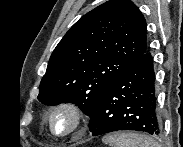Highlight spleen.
I'll use <instances>...</instances> for the list:
<instances>
[{
  "label": "spleen",
  "mask_w": 183,
  "mask_h": 147,
  "mask_svg": "<svg viewBox=\"0 0 183 147\" xmlns=\"http://www.w3.org/2000/svg\"><path fill=\"white\" fill-rule=\"evenodd\" d=\"M102 141L110 147H160L150 137L134 132H115L104 136Z\"/></svg>",
  "instance_id": "obj_1"
}]
</instances>
